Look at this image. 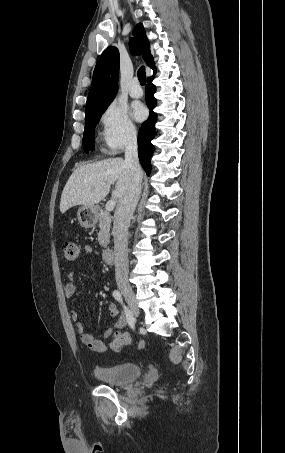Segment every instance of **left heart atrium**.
Returning <instances> with one entry per match:
<instances>
[{
    "instance_id": "39dd6f15",
    "label": "left heart atrium",
    "mask_w": 285,
    "mask_h": 453,
    "mask_svg": "<svg viewBox=\"0 0 285 453\" xmlns=\"http://www.w3.org/2000/svg\"><path fill=\"white\" fill-rule=\"evenodd\" d=\"M146 108L139 102H136L132 106V115L135 120L142 121L146 117Z\"/></svg>"
}]
</instances>
